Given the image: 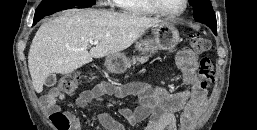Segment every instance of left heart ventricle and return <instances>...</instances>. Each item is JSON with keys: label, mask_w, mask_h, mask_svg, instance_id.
Returning <instances> with one entry per match:
<instances>
[{"label": "left heart ventricle", "mask_w": 257, "mask_h": 130, "mask_svg": "<svg viewBox=\"0 0 257 130\" xmlns=\"http://www.w3.org/2000/svg\"><path fill=\"white\" fill-rule=\"evenodd\" d=\"M160 6L171 13L178 12L182 9L184 0H157Z\"/></svg>", "instance_id": "left-heart-ventricle-1"}]
</instances>
